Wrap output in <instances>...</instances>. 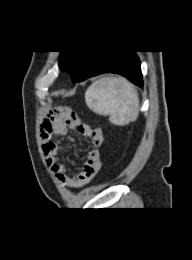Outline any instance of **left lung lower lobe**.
I'll return each instance as SVG.
<instances>
[{"label":"left lung lower lobe","mask_w":192,"mask_h":260,"mask_svg":"<svg viewBox=\"0 0 192 260\" xmlns=\"http://www.w3.org/2000/svg\"><path fill=\"white\" fill-rule=\"evenodd\" d=\"M117 73L143 87L140 62L135 53L127 50H101L90 61L80 81L102 74Z\"/></svg>","instance_id":"left-lung-lower-lobe-1"}]
</instances>
